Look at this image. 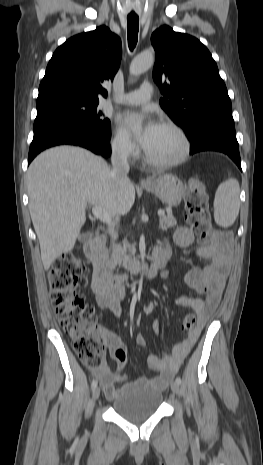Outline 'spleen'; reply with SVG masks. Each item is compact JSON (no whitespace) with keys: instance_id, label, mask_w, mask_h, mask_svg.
Listing matches in <instances>:
<instances>
[{"instance_id":"1","label":"spleen","mask_w":263,"mask_h":465,"mask_svg":"<svg viewBox=\"0 0 263 465\" xmlns=\"http://www.w3.org/2000/svg\"><path fill=\"white\" fill-rule=\"evenodd\" d=\"M239 183L234 178L222 182L214 199V219L222 227L231 226L239 214Z\"/></svg>"}]
</instances>
